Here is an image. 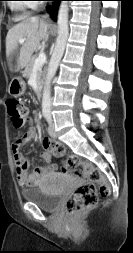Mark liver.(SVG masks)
I'll use <instances>...</instances> for the list:
<instances>
[{
    "instance_id": "6515ba94",
    "label": "liver",
    "mask_w": 133,
    "mask_h": 253,
    "mask_svg": "<svg viewBox=\"0 0 133 253\" xmlns=\"http://www.w3.org/2000/svg\"><path fill=\"white\" fill-rule=\"evenodd\" d=\"M49 25L44 19L38 17H30L23 20L12 27L6 36V55L10 58L15 54L20 39H25V42L20 48L19 58L17 60V70L25 67L32 53L37 49L40 41L44 40L48 34Z\"/></svg>"
}]
</instances>
